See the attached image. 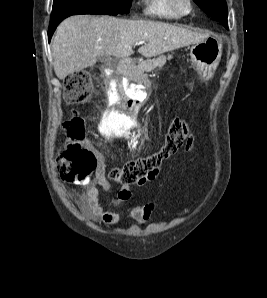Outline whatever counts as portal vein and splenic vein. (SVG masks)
I'll return each mask as SVG.
<instances>
[{"mask_svg":"<svg viewBox=\"0 0 267 298\" xmlns=\"http://www.w3.org/2000/svg\"><path fill=\"white\" fill-rule=\"evenodd\" d=\"M145 43V41H139V42H137L136 44L137 45H140V44H144Z\"/></svg>","mask_w":267,"mask_h":298,"instance_id":"1","label":"portal vein and splenic vein"}]
</instances>
